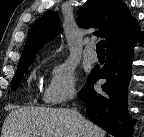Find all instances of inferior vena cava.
I'll return each instance as SVG.
<instances>
[{
  "mask_svg": "<svg viewBox=\"0 0 144 137\" xmlns=\"http://www.w3.org/2000/svg\"><path fill=\"white\" fill-rule=\"evenodd\" d=\"M79 115L77 114V118H79L78 117ZM80 131H81V137H84V130H83V127L80 125Z\"/></svg>",
  "mask_w": 144,
  "mask_h": 137,
  "instance_id": "obj_1",
  "label": "inferior vena cava"
}]
</instances>
